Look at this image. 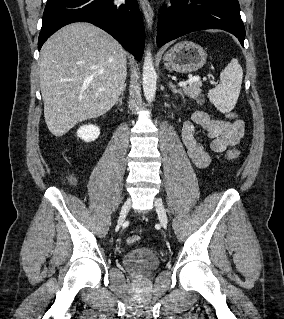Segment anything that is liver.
<instances>
[{
  "instance_id": "6515ba94",
  "label": "liver",
  "mask_w": 284,
  "mask_h": 319,
  "mask_svg": "<svg viewBox=\"0 0 284 319\" xmlns=\"http://www.w3.org/2000/svg\"><path fill=\"white\" fill-rule=\"evenodd\" d=\"M126 56L113 37L89 23L67 25L45 42L40 88L45 122L54 136L116 104L125 85Z\"/></svg>"
}]
</instances>
